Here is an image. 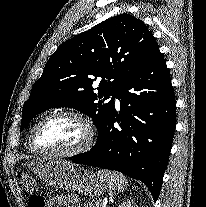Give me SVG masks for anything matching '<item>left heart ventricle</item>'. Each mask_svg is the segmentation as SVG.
Segmentation results:
<instances>
[{
	"label": "left heart ventricle",
	"mask_w": 206,
	"mask_h": 207,
	"mask_svg": "<svg viewBox=\"0 0 206 207\" xmlns=\"http://www.w3.org/2000/svg\"><path fill=\"white\" fill-rule=\"evenodd\" d=\"M87 137L85 126L69 116L43 122L35 134L36 143L46 149L71 150L82 145Z\"/></svg>",
	"instance_id": "b2bd125f"
}]
</instances>
